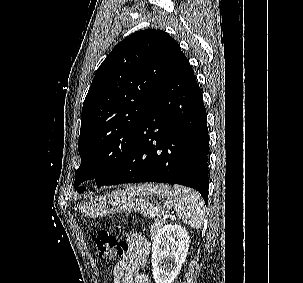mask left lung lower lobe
<instances>
[{"mask_svg":"<svg viewBox=\"0 0 303 283\" xmlns=\"http://www.w3.org/2000/svg\"><path fill=\"white\" fill-rule=\"evenodd\" d=\"M202 94L184 53L164 76L120 169L104 185L181 184L207 203L209 138Z\"/></svg>","mask_w":303,"mask_h":283,"instance_id":"obj_1","label":"left lung lower lobe"}]
</instances>
